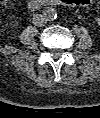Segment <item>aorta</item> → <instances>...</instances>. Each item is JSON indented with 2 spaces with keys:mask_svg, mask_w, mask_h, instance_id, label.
<instances>
[{
  "mask_svg": "<svg viewBox=\"0 0 100 118\" xmlns=\"http://www.w3.org/2000/svg\"><path fill=\"white\" fill-rule=\"evenodd\" d=\"M42 14L45 17L46 21H54L57 18V11L52 7H46L43 10Z\"/></svg>",
  "mask_w": 100,
  "mask_h": 118,
  "instance_id": "obj_1",
  "label": "aorta"
}]
</instances>
